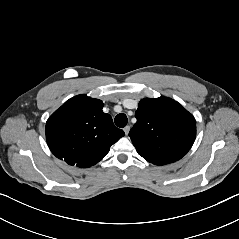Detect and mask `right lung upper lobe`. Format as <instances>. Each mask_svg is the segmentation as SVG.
Instances as JSON below:
<instances>
[{
	"mask_svg": "<svg viewBox=\"0 0 239 239\" xmlns=\"http://www.w3.org/2000/svg\"><path fill=\"white\" fill-rule=\"evenodd\" d=\"M101 100L78 95L66 101L46 122L51 152L69 165L87 168L98 163L125 134L102 111Z\"/></svg>",
	"mask_w": 239,
	"mask_h": 239,
	"instance_id": "right-lung-upper-lobe-1",
	"label": "right lung upper lobe"
}]
</instances>
